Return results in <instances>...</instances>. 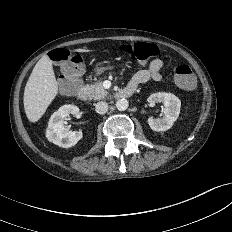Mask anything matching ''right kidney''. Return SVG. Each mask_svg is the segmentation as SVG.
Segmentation results:
<instances>
[{"instance_id": "obj_1", "label": "right kidney", "mask_w": 232, "mask_h": 232, "mask_svg": "<svg viewBox=\"0 0 232 232\" xmlns=\"http://www.w3.org/2000/svg\"><path fill=\"white\" fill-rule=\"evenodd\" d=\"M79 113V108L75 105H63L54 112L46 129V137L48 141L63 147L70 148L74 146L81 138V131H70L64 125V119L70 114L76 115Z\"/></svg>"}]
</instances>
